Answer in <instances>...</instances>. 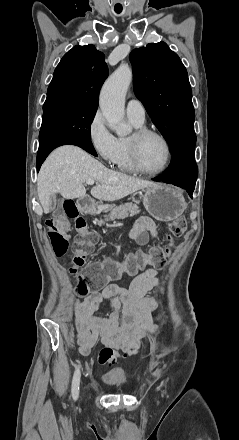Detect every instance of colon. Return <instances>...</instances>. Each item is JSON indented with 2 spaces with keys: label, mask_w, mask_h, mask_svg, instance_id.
Wrapping results in <instances>:
<instances>
[{
  "label": "colon",
  "mask_w": 239,
  "mask_h": 440,
  "mask_svg": "<svg viewBox=\"0 0 239 440\" xmlns=\"http://www.w3.org/2000/svg\"><path fill=\"white\" fill-rule=\"evenodd\" d=\"M66 218L75 221L77 236L75 240L73 255L70 262V272L75 274L85 266L86 259L91 255L96 236L88 230L86 221L79 215L73 200H66L63 205L62 214L56 215L47 221V234L51 246L56 255L65 254L69 246V236L67 234ZM186 219L178 217L169 225L168 241L181 236L186 230ZM170 248L155 246L148 253L137 252L123 264L113 261L92 263L86 266L80 275L78 291L80 294H87L92 288H98L106 284L109 280L118 278L124 272L134 274L150 264L155 267L163 266ZM114 352L110 349H103L99 354V363L107 364L112 362Z\"/></svg>",
  "instance_id": "obj_1"
}]
</instances>
